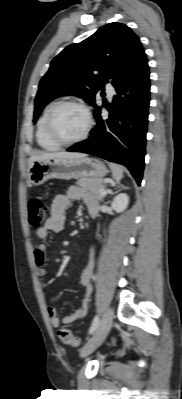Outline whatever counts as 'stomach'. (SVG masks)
Segmentation results:
<instances>
[{
	"label": "stomach",
	"mask_w": 182,
	"mask_h": 399,
	"mask_svg": "<svg viewBox=\"0 0 182 399\" xmlns=\"http://www.w3.org/2000/svg\"><path fill=\"white\" fill-rule=\"evenodd\" d=\"M107 173L105 164L95 158L46 159L33 162L28 169L31 185H42L49 179L99 178Z\"/></svg>",
	"instance_id": "0dacf381"
}]
</instances>
